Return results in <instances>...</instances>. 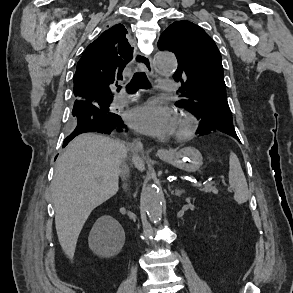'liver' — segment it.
<instances>
[{"instance_id":"obj_1","label":"liver","mask_w":293,"mask_h":293,"mask_svg":"<svg viewBox=\"0 0 293 293\" xmlns=\"http://www.w3.org/2000/svg\"><path fill=\"white\" fill-rule=\"evenodd\" d=\"M127 148L119 141L97 134L77 136L59 158L51 194L55 225L64 253L73 258L78 236L90 213L118 191L119 174ZM135 167L144 162L133 156Z\"/></svg>"}]
</instances>
